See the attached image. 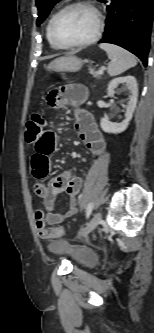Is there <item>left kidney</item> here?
<instances>
[{
    "instance_id": "5707ae66",
    "label": "left kidney",
    "mask_w": 154,
    "mask_h": 333,
    "mask_svg": "<svg viewBox=\"0 0 154 333\" xmlns=\"http://www.w3.org/2000/svg\"><path fill=\"white\" fill-rule=\"evenodd\" d=\"M120 84H126V87L130 91V96L127 99V105L125 106L126 108L125 119L120 123H116V122H111L107 117L101 118L100 126L102 130L106 133L117 134L124 132L127 129L129 122L133 117L134 110L136 108L137 97H138V86L135 77L131 75L113 79L108 85L107 95L109 97H113L115 93L114 89Z\"/></svg>"
}]
</instances>
